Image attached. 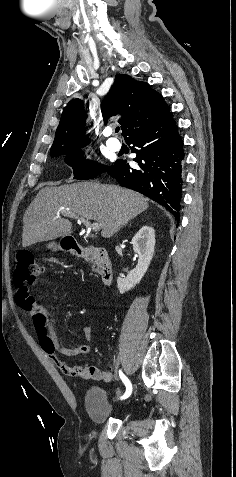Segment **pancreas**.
I'll return each instance as SVG.
<instances>
[{
  "instance_id": "obj_1",
  "label": "pancreas",
  "mask_w": 236,
  "mask_h": 477,
  "mask_svg": "<svg viewBox=\"0 0 236 477\" xmlns=\"http://www.w3.org/2000/svg\"><path fill=\"white\" fill-rule=\"evenodd\" d=\"M90 254L92 255V258H90L89 255H88V256H86V261H90L93 264L92 270L99 272V268H100L99 257L93 251H91Z\"/></svg>"
}]
</instances>
